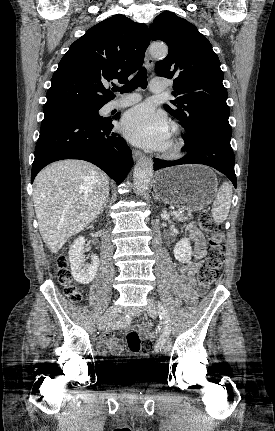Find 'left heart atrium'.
Returning a JSON list of instances; mask_svg holds the SVG:
<instances>
[{"mask_svg":"<svg viewBox=\"0 0 275 431\" xmlns=\"http://www.w3.org/2000/svg\"><path fill=\"white\" fill-rule=\"evenodd\" d=\"M122 134L133 144L152 149H164L170 137L166 117L147 104L127 111L120 123Z\"/></svg>","mask_w":275,"mask_h":431,"instance_id":"1","label":"left heart atrium"}]
</instances>
